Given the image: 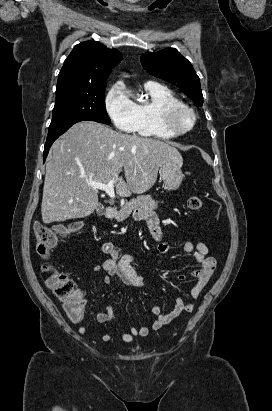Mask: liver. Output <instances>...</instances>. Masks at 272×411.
Segmentation results:
<instances>
[{
    "label": "liver",
    "instance_id": "liver-1",
    "mask_svg": "<svg viewBox=\"0 0 272 411\" xmlns=\"http://www.w3.org/2000/svg\"><path fill=\"white\" fill-rule=\"evenodd\" d=\"M166 161L183 164L179 151L163 141L123 134L92 121L78 122L51 147L42 220L49 224L92 214L98 195L91 181L107 184L115 179L122 197L144 193L155 184L159 165ZM122 168L126 181L119 177Z\"/></svg>",
    "mask_w": 272,
    "mask_h": 411
}]
</instances>
